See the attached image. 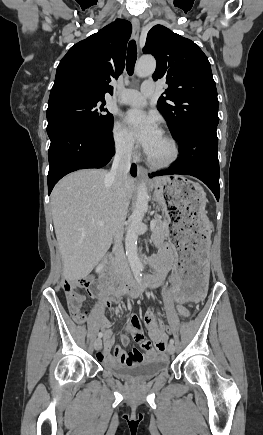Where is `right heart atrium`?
Here are the masks:
<instances>
[{
    "instance_id": "d8ad5b80",
    "label": "right heart atrium",
    "mask_w": 263,
    "mask_h": 435,
    "mask_svg": "<svg viewBox=\"0 0 263 435\" xmlns=\"http://www.w3.org/2000/svg\"><path fill=\"white\" fill-rule=\"evenodd\" d=\"M111 139L115 152L119 157L123 159H131L136 155L137 149L134 142L118 122L113 124Z\"/></svg>"
}]
</instances>
